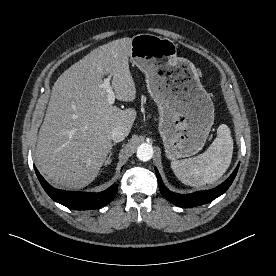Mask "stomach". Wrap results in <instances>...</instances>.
I'll list each match as a JSON object with an SVG mask.
<instances>
[{
  "mask_svg": "<svg viewBox=\"0 0 276 276\" xmlns=\"http://www.w3.org/2000/svg\"><path fill=\"white\" fill-rule=\"evenodd\" d=\"M130 59L146 75L159 109V132L168 159L198 153L214 123V105L192 62L177 57L170 39L142 33L132 38Z\"/></svg>",
  "mask_w": 276,
  "mask_h": 276,
  "instance_id": "1",
  "label": "stomach"
}]
</instances>
